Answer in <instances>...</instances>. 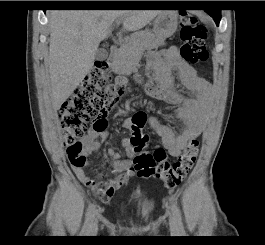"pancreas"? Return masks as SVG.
<instances>
[{"label":"pancreas","instance_id":"cf45deb5","mask_svg":"<svg viewBox=\"0 0 265 245\" xmlns=\"http://www.w3.org/2000/svg\"><path fill=\"white\" fill-rule=\"evenodd\" d=\"M165 45L164 38L145 30L134 33L119 48L114 56L112 69L119 75H130L136 70L142 53L146 48H158Z\"/></svg>","mask_w":265,"mask_h":245}]
</instances>
